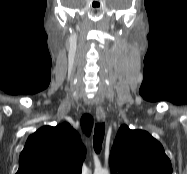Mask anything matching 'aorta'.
<instances>
[{
  "label": "aorta",
  "mask_w": 187,
  "mask_h": 174,
  "mask_svg": "<svg viewBox=\"0 0 187 174\" xmlns=\"http://www.w3.org/2000/svg\"><path fill=\"white\" fill-rule=\"evenodd\" d=\"M94 174H110L107 169L96 170Z\"/></svg>",
  "instance_id": "1"
}]
</instances>
